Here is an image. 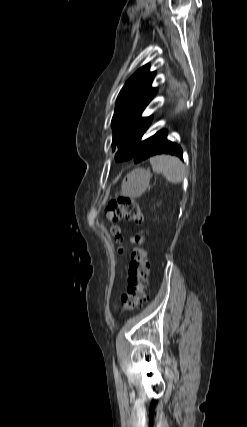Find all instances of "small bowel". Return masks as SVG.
I'll return each mask as SVG.
<instances>
[{
  "instance_id": "1",
  "label": "small bowel",
  "mask_w": 247,
  "mask_h": 427,
  "mask_svg": "<svg viewBox=\"0 0 247 427\" xmlns=\"http://www.w3.org/2000/svg\"><path fill=\"white\" fill-rule=\"evenodd\" d=\"M134 241H135V240H134V238L132 237V238H131V242H132V243H134Z\"/></svg>"
}]
</instances>
